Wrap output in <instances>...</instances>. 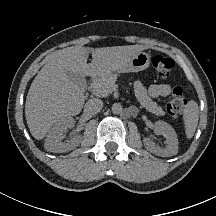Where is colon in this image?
<instances>
[{
    "instance_id": "colon-1",
    "label": "colon",
    "mask_w": 216,
    "mask_h": 216,
    "mask_svg": "<svg viewBox=\"0 0 216 216\" xmlns=\"http://www.w3.org/2000/svg\"><path fill=\"white\" fill-rule=\"evenodd\" d=\"M152 63L157 74L161 77H168L175 66L172 58L162 55L155 56ZM186 104L187 100L182 87L174 85L170 100L167 104V112L171 116H179L184 111Z\"/></svg>"
}]
</instances>
